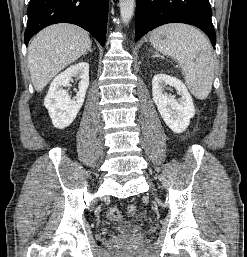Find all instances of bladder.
Returning a JSON list of instances; mask_svg holds the SVG:
<instances>
[{
    "label": "bladder",
    "instance_id": "obj_1",
    "mask_svg": "<svg viewBox=\"0 0 247 257\" xmlns=\"http://www.w3.org/2000/svg\"><path fill=\"white\" fill-rule=\"evenodd\" d=\"M143 230H144V226L139 224L122 225L117 228V232L125 236L135 235L142 232Z\"/></svg>",
    "mask_w": 247,
    "mask_h": 257
}]
</instances>
